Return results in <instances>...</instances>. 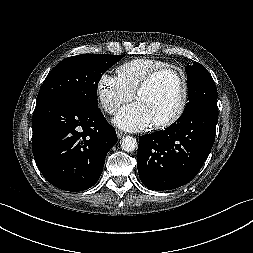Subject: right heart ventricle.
Masks as SVG:
<instances>
[{"instance_id": "e07e8e85", "label": "right heart ventricle", "mask_w": 253, "mask_h": 253, "mask_svg": "<svg viewBox=\"0 0 253 253\" xmlns=\"http://www.w3.org/2000/svg\"><path fill=\"white\" fill-rule=\"evenodd\" d=\"M169 66L165 61L154 58H135L127 61L116 69V77L132 94L144 78L152 71Z\"/></svg>"}]
</instances>
